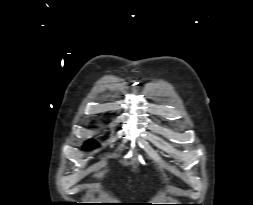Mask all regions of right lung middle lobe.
<instances>
[{
	"mask_svg": "<svg viewBox=\"0 0 253 205\" xmlns=\"http://www.w3.org/2000/svg\"><path fill=\"white\" fill-rule=\"evenodd\" d=\"M97 146V144L95 143V141L93 140H90V141H87L84 145V149L86 150H89V149H93Z\"/></svg>",
	"mask_w": 253,
	"mask_h": 205,
	"instance_id": "dd1d6c3e",
	"label": "right lung middle lobe"
}]
</instances>
